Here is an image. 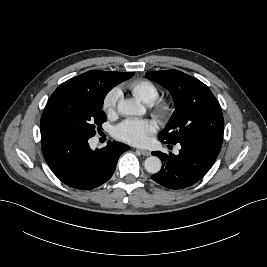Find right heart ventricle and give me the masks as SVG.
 Wrapping results in <instances>:
<instances>
[{
    "instance_id": "right-heart-ventricle-1",
    "label": "right heart ventricle",
    "mask_w": 267,
    "mask_h": 267,
    "mask_svg": "<svg viewBox=\"0 0 267 267\" xmlns=\"http://www.w3.org/2000/svg\"><path fill=\"white\" fill-rule=\"evenodd\" d=\"M128 88L138 99L146 104L154 103L159 97L158 87L146 79H138L130 82Z\"/></svg>"
}]
</instances>
